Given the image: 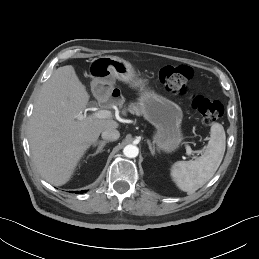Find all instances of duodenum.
<instances>
[{
    "label": "duodenum",
    "instance_id": "410a0bca",
    "mask_svg": "<svg viewBox=\"0 0 259 259\" xmlns=\"http://www.w3.org/2000/svg\"><path fill=\"white\" fill-rule=\"evenodd\" d=\"M120 98H121L120 91L118 89H114L111 91V93L108 96L101 98L99 103L101 105L111 104L119 101Z\"/></svg>",
    "mask_w": 259,
    "mask_h": 259
}]
</instances>
